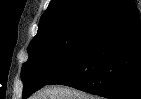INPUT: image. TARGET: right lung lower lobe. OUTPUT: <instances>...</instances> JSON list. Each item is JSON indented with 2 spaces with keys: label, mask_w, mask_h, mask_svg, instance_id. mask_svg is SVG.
<instances>
[{
  "label": "right lung lower lobe",
  "mask_w": 141,
  "mask_h": 99,
  "mask_svg": "<svg viewBox=\"0 0 141 99\" xmlns=\"http://www.w3.org/2000/svg\"><path fill=\"white\" fill-rule=\"evenodd\" d=\"M46 84L109 99H141V19L135 4L102 21L80 53Z\"/></svg>",
  "instance_id": "98d812e1"
}]
</instances>
